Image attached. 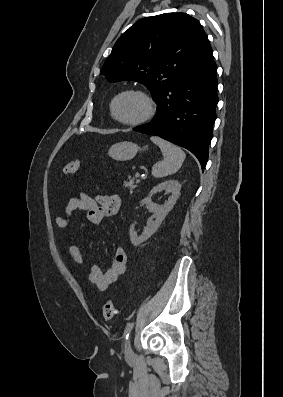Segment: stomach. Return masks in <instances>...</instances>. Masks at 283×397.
Here are the masks:
<instances>
[{
    "mask_svg": "<svg viewBox=\"0 0 283 397\" xmlns=\"http://www.w3.org/2000/svg\"><path fill=\"white\" fill-rule=\"evenodd\" d=\"M140 147L129 141H123L112 145L109 148L108 155L117 161H126L135 157Z\"/></svg>",
    "mask_w": 283,
    "mask_h": 397,
    "instance_id": "1",
    "label": "stomach"
}]
</instances>
